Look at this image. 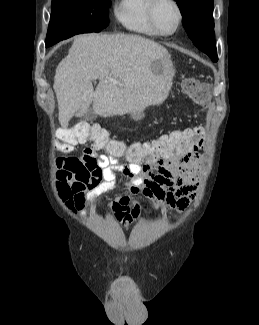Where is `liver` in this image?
Instances as JSON below:
<instances>
[{"mask_svg":"<svg viewBox=\"0 0 259 325\" xmlns=\"http://www.w3.org/2000/svg\"><path fill=\"white\" fill-rule=\"evenodd\" d=\"M170 58L166 48L140 35L76 37L54 77L60 125L68 127L71 118L83 116L91 103L101 117L162 103L171 87L166 79L174 74ZM95 79H99L96 90L92 85Z\"/></svg>","mask_w":259,"mask_h":325,"instance_id":"1","label":"liver"}]
</instances>
